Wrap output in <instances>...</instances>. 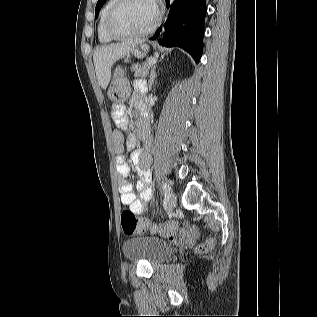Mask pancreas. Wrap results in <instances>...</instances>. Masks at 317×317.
<instances>
[{
  "label": "pancreas",
  "instance_id": "cf45deb5",
  "mask_svg": "<svg viewBox=\"0 0 317 317\" xmlns=\"http://www.w3.org/2000/svg\"><path fill=\"white\" fill-rule=\"evenodd\" d=\"M152 68L153 65H151L149 61H144L142 65H140V62H135V67H133L134 76L142 78L146 77L149 73V70Z\"/></svg>",
  "mask_w": 317,
  "mask_h": 317
}]
</instances>
